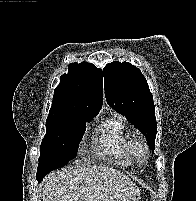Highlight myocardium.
<instances>
[{
    "instance_id": "obj_1",
    "label": "myocardium",
    "mask_w": 196,
    "mask_h": 201,
    "mask_svg": "<svg viewBox=\"0 0 196 201\" xmlns=\"http://www.w3.org/2000/svg\"><path fill=\"white\" fill-rule=\"evenodd\" d=\"M149 154V149L146 142L143 139H137L134 141L132 155L138 162H144Z\"/></svg>"
}]
</instances>
